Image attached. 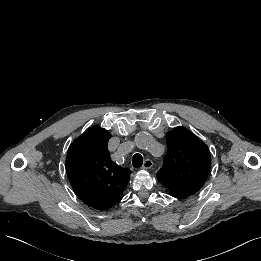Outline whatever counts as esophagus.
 Instances as JSON below:
<instances>
[{
	"instance_id": "1",
	"label": "esophagus",
	"mask_w": 261,
	"mask_h": 261,
	"mask_svg": "<svg viewBox=\"0 0 261 261\" xmlns=\"http://www.w3.org/2000/svg\"><path fill=\"white\" fill-rule=\"evenodd\" d=\"M152 166H153V162L150 159H146L145 162L143 163L144 169H150Z\"/></svg>"
}]
</instances>
